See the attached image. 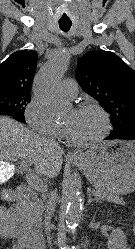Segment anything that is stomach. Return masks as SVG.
Returning a JSON list of instances; mask_svg holds the SVG:
<instances>
[{
	"label": "stomach",
	"instance_id": "obj_1",
	"mask_svg": "<svg viewBox=\"0 0 135 249\" xmlns=\"http://www.w3.org/2000/svg\"><path fill=\"white\" fill-rule=\"evenodd\" d=\"M74 164L98 191L123 195L135 190L134 141H106L83 153Z\"/></svg>",
	"mask_w": 135,
	"mask_h": 249
}]
</instances>
